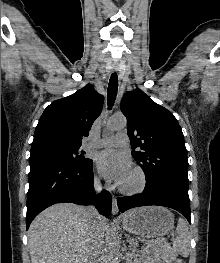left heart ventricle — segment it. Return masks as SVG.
<instances>
[{
  "mask_svg": "<svg viewBox=\"0 0 220 263\" xmlns=\"http://www.w3.org/2000/svg\"><path fill=\"white\" fill-rule=\"evenodd\" d=\"M137 183H138V177L135 173L131 171L129 175L126 177V179L120 185L127 188H131L136 186Z\"/></svg>",
  "mask_w": 220,
  "mask_h": 263,
  "instance_id": "b2bd125f",
  "label": "left heart ventricle"
}]
</instances>
